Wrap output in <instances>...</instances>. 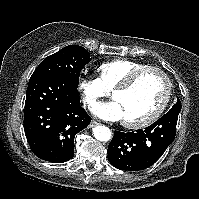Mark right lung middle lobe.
I'll list each match as a JSON object with an SVG mask.
<instances>
[{"mask_svg":"<svg viewBox=\"0 0 199 199\" xmlns=\"http://www.w3.org/2000/svg\"><path fill=\"white\" fill-rule=\"evenodd\" d=\"M91 60L90 53L78 45H69L46 57L33 72L32 77L58 75L78 87L82 68Z\"/></svg>","mask_w":199,"mask_h":199,"instance_id":"1","label":"right lung middle lobe"}]
</instances>
